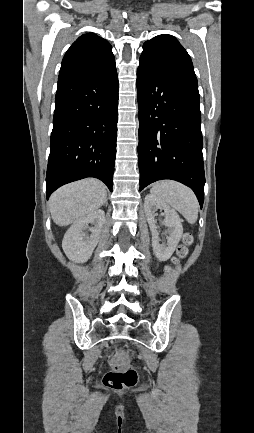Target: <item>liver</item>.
Segmentation results:
<instances>
[{
	"label": "liver",
	"instance_id": "6515ba94",
	"mask_svg": "<svg viewBox=\"0 0 254 433\" xmlns=\"http://www.w3.org/2000/svg\"><path fill=\"white\" fill-rule=\"evenodd\" d=\"M107 201L105 185L97 179H84L55 191L49 200L53 221L66 226L96 211Z\"/></svg>",
	"mask_w": 254,
	"mask_h": 433
}]
</instances>
